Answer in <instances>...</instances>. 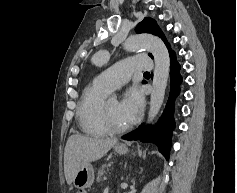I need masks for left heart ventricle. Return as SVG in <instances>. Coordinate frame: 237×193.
Here are the masks:
<instances>
[{
  "instance_id": "obj_1",
  "label": "left heart ventricle",
  "mask_w": 237,
  "mask_h": 193,
  "mask_svg": "<svg viewBox=\"0 0 237 193\" xmlns=\"http://www.w3.org/2000/svg\"><path fill=\"white\" fill-rule=\"evenodd\" d=\"M107 108H108L109 119L114 126L123 127L130 124L127 121L121 109V105L119 101L113 98L109 99Z\"/></svg>"
}]
</instances>
